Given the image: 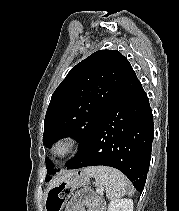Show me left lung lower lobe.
Listing matches in <instances>:
<instances>
[{
	"mask_svg": "<svg viewBox=\"0 0 179 211\" xmlns=\"http://www.w3.org/2000/svg\"><path fill=\"white\" fill-rule=\"evenodd\" d=\"M153 115L134 70L103 112L84 151L67 167L104 165L124 173L142 192L153 142Z\"/></svg>",
	"mask_w": 179,
	"mask_h": 211,
	"instance_id": "0a47b994",
	"label": "left lung lower lobe"
}]
</instances>
